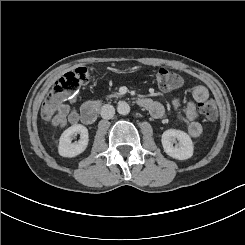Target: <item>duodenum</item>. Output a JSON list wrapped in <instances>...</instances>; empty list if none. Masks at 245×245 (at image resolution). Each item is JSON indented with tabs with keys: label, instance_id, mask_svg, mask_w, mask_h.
<instances>
[{
	"label": "duodenum",
	"instance_id": "1",
	"mask_svg": "<svg viewBox=\"0 0 245 245\" xmlns=\"http://www.w3.org/2000/svg\"><path fill=\"white\" fill-rule=\"evenodd\" d=\"M142 107L151 106V102L148 99H140L138 101ZM100 102L90 101L83 105L80 111V119L85 124H92L96 121L99 114Z\"/></svg>",
	"mask_w": 245,
	"mask_h": 245
}]
</instances>
